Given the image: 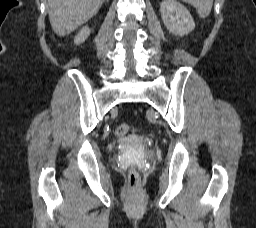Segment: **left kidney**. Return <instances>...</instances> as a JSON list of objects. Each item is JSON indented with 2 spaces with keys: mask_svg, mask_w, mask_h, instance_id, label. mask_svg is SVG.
I'll return each mask as SVG.
<instances>
[{
  "mask_svg": "<svg viewBox=\"0 0 256 228\" xmlns=\"http://www.w3.org/2000/svg\"><path fill=\"white\" fill-rule=\"evenodd\" d=\"M160 12L164 25L173 35L184 36L195 28L190 12L175 0H163Z\"/></svg>",
  "mask_w": 256,
  "mask_h": 228,
  "instance_id": "5707ae66",
  "label": "left kidney"
}]
</instances>
